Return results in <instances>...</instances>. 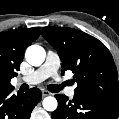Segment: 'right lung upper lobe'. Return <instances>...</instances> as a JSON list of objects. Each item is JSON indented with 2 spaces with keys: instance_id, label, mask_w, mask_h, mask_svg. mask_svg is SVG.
<instances>
[{
  "instance_id": "obj_1",
  "label": "right lung upper lobe",
  "mask_w": 119,
  "mask_h": 119,
  "mask_svg": "<svg viewBox=\"0 0 119 119\" xmlns=\"http://www.w3.org/2000/svg\"><path fill=\"white\" fill-rule=\"evenodd\" d=\"M40 35V27L0 33V93L12 90L10 80L17 76L25 49Z\"/></svg>"
}]
</instances>
